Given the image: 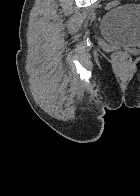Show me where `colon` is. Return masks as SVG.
I'll return each instance as SVG.
<instances>
[{
  "instance_id": "obj_1",
  "label": "colon",
  "mask_w": 140,
  "mask_h": 196,
  "mask_svg": "<svg viewBox=\"0 0 140 196\" xmlns=\"http://www.w3.org/2000/svg\"><path fill=\"white\" fill-rule=\"evenodd\" d=\"M117 6H119V2L117 0H113V1H109L105 8L107 10H111L116 8ZM113 60L115 62V64L120 68V69H125L128 67L129 63H130V54L125 51V50H116L113 53Z\"/></svg>"
}]
</instances>
